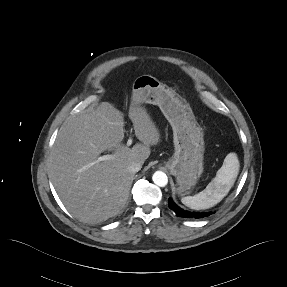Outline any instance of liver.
I'll use <instances>...</instances> for the list:
<instances>
[{"label": "liver", "mask_w": 287, "mask_h": 287, "mask_svg": "<svg viewBox=\"0 0 287 287\" xmlns=\"http://www.w3.org/2000/svg\"><path fill=\"white\" fill-rule=\"evenodd\" d=\"M136 137L129 148L124 139L123 114L108 102L81 112L61 126L49 160L51 181L65 207L85 223L97 224L123 209L134 180L132 162L149 157L160 133L147 110L131 101L129 108ZM113 158L98 161L104 151Z\"/></svg>", "instance_id": "1"}]
</instances>
